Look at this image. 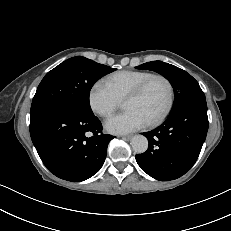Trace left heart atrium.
Wrapping results in <instances>:
<instances>
[{
	"label": "left heart atrium",
	"instance_id": "1",
	"mask_svg": "<svg viewBox=\"0 0 231 231\" xmlns=\"http://www.w3.org/2000/svg\"><path fill=\"white\" fill-rule=\"evenodd\" d=\"M147 123L138 112L126 110L109 118L105 122V129L113 134H126L144 128Z\"/></svg>",
	"mask_w": 231,
	"mask_h": 231
}]
</instances>
